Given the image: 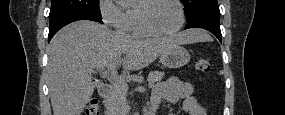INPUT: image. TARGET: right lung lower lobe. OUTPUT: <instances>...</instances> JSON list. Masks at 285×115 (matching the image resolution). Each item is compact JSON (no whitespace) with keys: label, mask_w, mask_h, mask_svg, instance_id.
Returning a JSON list of instances; mask_svg holds the SVG:
<instances>
[{"label":"right lung lower lobe","mask_w":285,"mask_h":115,"mask_svg":"<svg viewBox=\"0 0 285 115\" xmlns=\"http://www.w3.org/2000/svg\"><path fill=\"white\" fill-rule=\"evenodd\" d=\"M84 19L103 23L101 18H95L93 16L83 15V14H72V15H66V16L60 17L50 22L48 42L55 35V33L59 31L65 25L72 23L74 21L84 20Z\"/></svg>","instance_id":"1"}]
</instances>
